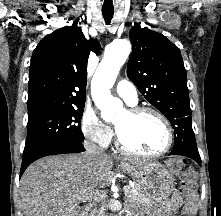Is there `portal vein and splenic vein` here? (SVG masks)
<instances>
[{
    "label": "portal vein and splenic vein",
    "mask_w": 221,
    "mask_h": 216,
    "mask_svg": "<svg viewBox=\"0 0 221 216\" xmlns=\"http://www.w3.org/2000/svg\"><path fill=\"white\" fill-rule=\"evenodd\" d=\"M130 189V186H125L124 187V191H128ZM90 194L84 193L82 194L79 199H85V200H89V199H94V200H100L102 198L106 197V192L102 191V190H96V191H89Z\"/></svg>",
    "instance_id": "portal-vein-and-splenic-vein-1"
}]
</instances>
